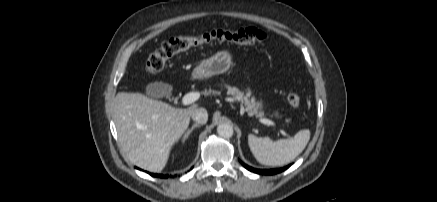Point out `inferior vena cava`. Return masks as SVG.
<instances>
[{"label": "inferior vena cava", "mask_w": 437, "mask_h": 202, "mask_svg": "<svg viewBox=\"0 0 437 202\" xmlns=\"http://www.w3.org/2000/svg\"><path fill=\"white\" fill-rule=\"evenodd\" d=\"M191 117L199 124H205L208 120V113L205 108H198L192 112Z\"/></svg>", "instance_id": "inferior-vena-cava-1"}]
</instances>
